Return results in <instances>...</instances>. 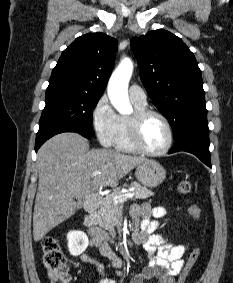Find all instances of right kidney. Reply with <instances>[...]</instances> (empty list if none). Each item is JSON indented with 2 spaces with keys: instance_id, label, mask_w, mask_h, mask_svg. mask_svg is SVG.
<instances>
[{
  "instance_id": "ca27d5eb",
  "label": "right kidney",
  "mask_w": 233,
  "mask_h": 283,
  "mask_svg": "<svg viewBox=\"0 0 233 283\" xmlns=\"http://www.w3.org/2000/svg\"><path fill=\"white\" fill-rule=\"evenodd\" d=\"M67 240L69 252L73 256L83 253L89 243L87 235L82 231H70L67 234Z\"/></svg>"
}]
</instances>
